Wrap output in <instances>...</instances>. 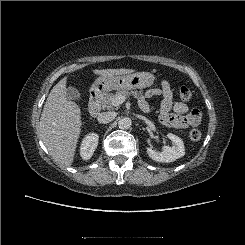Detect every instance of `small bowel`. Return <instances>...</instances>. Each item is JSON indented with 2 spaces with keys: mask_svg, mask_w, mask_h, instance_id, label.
<instances>
[{
  "mask_svg": "<svg viewBox=\"0 0 245 245\" xmlns=\"http://www.w3.org/2000/svg\"><path fill=\"white\" fill-rule=\"evenodd\" d=\"M156 95H161L163 98L159 107V114L164 125L173 128H188L200 124L202 119L200 110L197 108L190 109L184 102H174L173 92L166 80L161 81L159 88L148 90L141 96V107L145 110L151 109L146 99Z\"/></svg>",
  "mask_w": 245,
  "mask_h": 245,
  "instance_id": "small-bowel-1",
  "label": "small bowel"
}]
</instances>
